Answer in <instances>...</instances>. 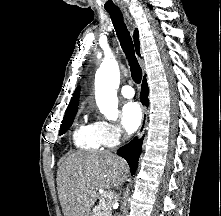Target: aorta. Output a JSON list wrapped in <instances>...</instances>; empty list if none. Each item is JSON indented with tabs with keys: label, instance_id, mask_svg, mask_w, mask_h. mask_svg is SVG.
<instances>
[{
	"label": "aorta",
	"instance_id": "aorta-1",
	"mask_svg": "<svg viewBox=\"0 0 221 216\" xmlns=\"http://www.w3.org/2000/svg\"><path fill=\"white\" fill-rule=\"evenodd\" d=\"M120 83L118 63L107 53L95 75V98L100 112L108 120L118 118L117 88Z\"/></svg>",
	"mask_w": 221,
	"mask_h": 216
}]
</instances>
